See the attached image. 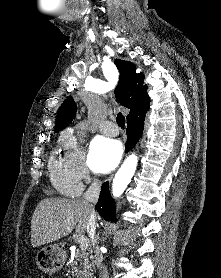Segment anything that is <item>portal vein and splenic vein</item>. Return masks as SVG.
<instances>
[{
    "label": "portal vein and splenic vein",
    "instance_id": "portal-vein-and-splenic-vein-1",
    "mask_svg": "<svg viewBox=\"0 0 221 278\" xmlns=\"http://www.w3.org/2000/svg\"><path fill=\"white\" fill-rule=\"evenodd\" d=\"M76 241H77V243H79L80 248L82 250L88 248V240L84 236L80 235V236L76 237Z\"/></svg>",
    "mask_w": 221,
    "mask_h": 278
}]
</instances>
